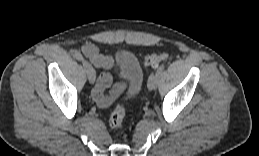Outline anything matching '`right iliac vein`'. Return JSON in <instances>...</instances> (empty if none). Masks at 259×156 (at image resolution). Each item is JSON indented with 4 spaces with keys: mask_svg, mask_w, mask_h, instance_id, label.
Returning a JSON list of instances; mask_svg holds the SVG:
<instances>
[{
    "mask_svg": "<svg viewBox=\"0 0 259 156\" xmlns=\"http://www.w3.org/2000/svg\"><path fill=\"white\" fill-rule=\"evenodd\" d=\"M83 66L85 68L86 74L88 76V79L90 81V83H94L95 79H96V73L95 70L93 69V67L87 62V61H83Z\"/></svg>",
    "mask_w": 259,
    "mask_h": 156,
    "instance_id": "1",
    "label": "right iliac vein"
}]
</instances>
